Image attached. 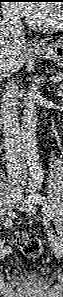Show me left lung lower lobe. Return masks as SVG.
<instances>
[{
  "mask_svg": "<svg viewBox=\"0 0 63 297\" xmlns=\"http://www.w3.org/2000/svg\"><path fill=\"white\" fill-rule=\"evenodd\" d=\"M59 34H63V32H60V33H57V34H54V35H59Z\"/></svg>",
  "mask_w": 63,
  "mask_h": 297,
  "instance_id": "0a47b994",
  "label": "left lung lower lobe"
}]
</instances>
